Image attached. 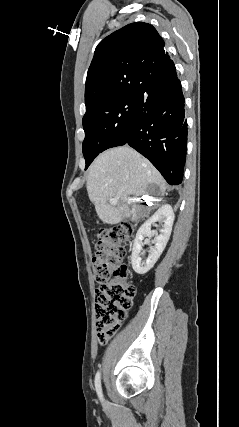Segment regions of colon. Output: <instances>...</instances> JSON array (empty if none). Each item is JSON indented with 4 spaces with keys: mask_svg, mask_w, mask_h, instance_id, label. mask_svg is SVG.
<instances>
[{
    "mask_svg": "<svg viewBox=\"0 0 239 427\" xmlns=\"http://www.w3.org/2000/svg\"><path fill=\"white\" fill-rule=\"evenodd\" d=\"M132 233L133 225L122 223L101 229L98 234L92 266L99 284L95 297V325L101 344L116 333L136 294L130 270L124 263L126 244Z\"/></svg>",
    "mask_w": 239,
    "mask_h": 427,
    "instance_id": "colon-1",
    "label": "colon"
}]
</instances>
